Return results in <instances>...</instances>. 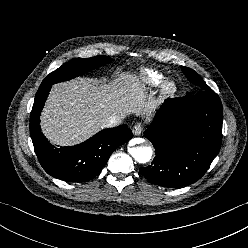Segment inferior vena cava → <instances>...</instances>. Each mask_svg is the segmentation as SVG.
Here are the masks:
<instances>
[{
  "instance_id": "1",
  "label": "inferior vena cava",
  "mask_w": 248,
  "mask_h": 248,
  "mask_svg": "<svg viewBox=\"0 0 248 248\" xmlns=\"http://www.w3.org/2000/svg\"><path fill=\"white\" fill-rule=\"evenodd\" d=\"M122 116H109L104 123V127H115L121 123Z\"/></svg>"
}]
</instances>
